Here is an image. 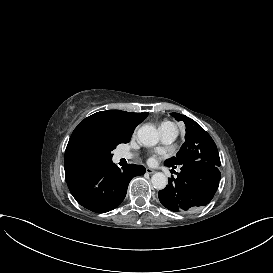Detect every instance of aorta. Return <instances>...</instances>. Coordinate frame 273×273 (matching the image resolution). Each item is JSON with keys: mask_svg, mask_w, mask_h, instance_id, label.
I'll return each mask as SVG.
<instances>
[{"mask_svg": "<svg viewBox=\"0 0 273 273\" xmlns=\"http://www.w3.org/2000/svg\"><path fill=\"white\" fill-rule=\"evenodd\" d=\"M139 141L146 147L155 146L159 142V133L153 125L145 124L141 126L137 132ZM151 183L155 189L163 190L168 179L165 174L157 172L151 177Z\"/></svg>", "mask_w": 273, "mask_h": 273, "instance_id": "1", "label": "aorta"}]
</instances>
